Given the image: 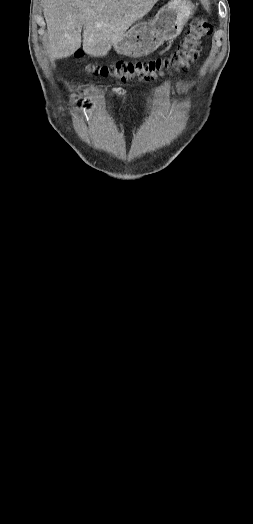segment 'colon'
<instances>
[{
	"label": "colon",
	"mask_w": 253,
	"mask_h": 524,
	"mask_svg": "<svg viewBox=\"0 0 253 524\" xmlns=\"http://www.w3.org/2000/svg\"><path fill=\"white\" fill-rule=\"evenodd\" d=\"M212 32L211 23L207 19L198 18L191 23L176 52L167 59L117 62L109 66L88 64L86 70L102 77H112L121 81L153 80L163 77L174 69H185L198 56L203 39L209 37Z\"/></svg>",
	"instance_id": "obj_1"
}]
</instances>
